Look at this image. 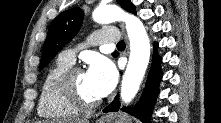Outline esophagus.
<instances>
[{
  "label": "esophagus",
  "instance_id": "1",
  "mask_svg": "<svg viewBox=\"0 0 221 123\" xmlns=\"http://www.w3.org/2000/svg\"><path fill=\"white\" fill-rule=\"evenodd\" d=\"M121 28H122V30H124V27H123V25H121Z\"/></svg>",
  "mask_w": 221,
  "mask_h": 123
}]
</instances>
